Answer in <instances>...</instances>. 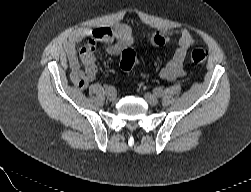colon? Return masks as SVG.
<instances>
[{
  "label": "colon",
  "mask_w": 251,
  "mask_h": 192,
  "mask_svg": "<svg viewBox=\"0 0 251 192\" xmlns=\"http://www.w3.org/2000/svg\"><path fill=\"white\" fill-rule=\"evenodd\" d=\"M148 43L152 46L159 47L165 43V38L159 33H154L148 37ZM208 56V52L203 48H197L191 53V61L194 64H203ZM138 62L135 52L131 49H125L121 53L120 66L124 70H129Z\"/></svg>",
  "instance_id": "1"
}]
</instances>
